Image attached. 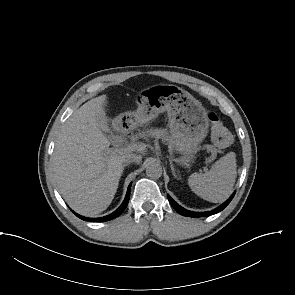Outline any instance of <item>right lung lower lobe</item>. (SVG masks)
Here are the masks:
<instances>
[{"mask_svg": "<svg viewBox=\"0 0 295 295\" xmlns=\"http://www.w3.org/2000/svg\"><path fill=\"white\" fill-rule=\"evenodd\" d=\"M130 188H131V185H129V187H128V191H127L124 202L121 204V206L115 212H113L110 215H107V216H104V217H101V218H87V217L80 216V215H78L76 213H74V214L77 217H79L80 219L85 220V221L103 222V221H109L111 219H114V218L118 217L124 211V209L126 208L128 202H129Z\"/></svg>", "mask_w": 295, "mask_h": 295, "instance_id": "1", "label": "right lung lower lobe"}]
</instances>
